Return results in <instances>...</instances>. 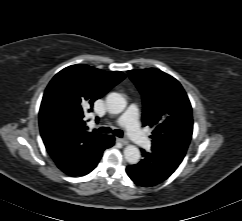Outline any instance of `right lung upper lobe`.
<instances>
[{"mask_svg": "<svg viewBox=\"0 0 242 221\" xmlns=\"http://www.w3.org/2000/svg\"><path fill=\"white\" fill-rule=\"evenodd\" d=\"M120 71H102L77 64L58 72L48 84L39 111L40 133L57 166H81L85 148L103 134L87 132L84 113L95 100L125 78Z\"/></svg>", "mask_w": 242, "mask_h": 221, "instance_id": "obj_1", "label": "right lung upper lobe"}]
</instances>
